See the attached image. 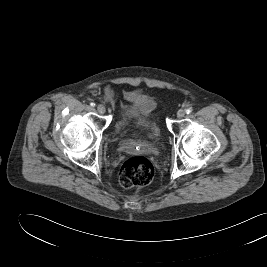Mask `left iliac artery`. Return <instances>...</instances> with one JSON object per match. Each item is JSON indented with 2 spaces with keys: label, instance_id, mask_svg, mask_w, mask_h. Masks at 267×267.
<instances>
[{
  "label": "left iliac artery",
  "instance_id": "left-iliac-artery-1",
  "mask_svg": "<svg viewBox=\"0 0 267 267\" xmlns=\"http://www.w3.org/2000/svg\"><path fill=\"white\" fill-rule=\"evenodd\" d=\"M185 112H186L187 114H190V113L192 112V109H191V108H187V109L185 110Z\"/></svg>",
  "mask_w": 267,
  "mask_h": 267
}]
</instances>
